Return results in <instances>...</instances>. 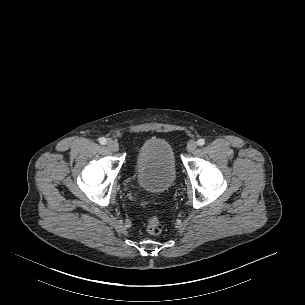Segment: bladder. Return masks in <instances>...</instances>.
<instances>
[{
    "label": "bladder",
    "mask_w": 305,
    "mask_h": 305,
    "mask_svg": "<svg viewBox=\"0 0 305 305\" xmlns=\"http://www.w3.org/2000/svg\"><path fill=\"white\" fill-rule=\"evenodd\" d=\"M137 182L151 192L171 189L177 178L172 147L158 137L145 140L138 148L133 162Z\"/></svg>",
    "instance_id": "1"
}]
</instances>
